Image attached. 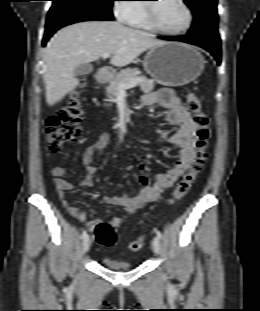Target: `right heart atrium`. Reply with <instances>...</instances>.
Here are the masks:
<instances>
[{"instance_id": "right-heart-atrium-1", "label": "right heart atrium", "mask_w": 260, "mask_h": 311, "mask_svg": "<svg viewBox=\"0 0 260 311\" xmlns=\"http://www.w3.org/2000/svg\"><path fill=\"white\" fill-rule=\"evenodd\" d=\"M135 6L126 3L125 0H116L113 6L115 16L121 21L127 23L134 13Z\"/></svg>"}]
</instances>
